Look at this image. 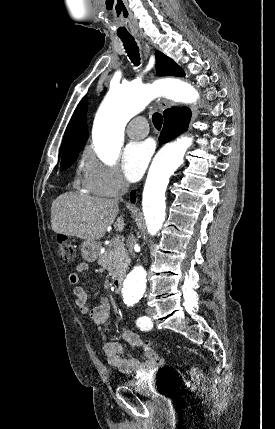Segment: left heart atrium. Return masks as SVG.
Segmentation results:
<instances>
[{
    "label": "left heart atrium",
    "instance_id": "obj_1",
    "mask_svg": "<svg viewBox=\"0 0 275 429\" xmlns=\"http://www.w3.org/2000/svg\"><path fill=\"white\" fill-rule=\"evenodd\" d=\"M153 153V144L150 141L129 143L122 155V170L130 182L138 181Z\"/></svg>",
    "mask_w": 275,
    "mask_h": 429
}]
</instances>
